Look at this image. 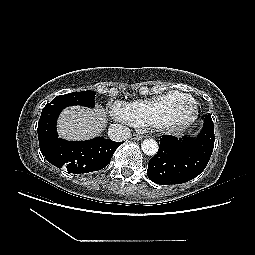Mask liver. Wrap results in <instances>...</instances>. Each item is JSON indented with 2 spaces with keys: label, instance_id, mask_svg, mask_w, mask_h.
<instances>
[{
  "label": "liver",
  "instance_id": "obj_1",
  "mask_svg": "<svg viewBox=\"0 0 255 255\" xmlns=\"http://www.w3.org/2000/svg\"><path fill=\"white\" fill-rule=\"evenodd\" d=\"M105 123L106 113L101 106L97 105L95 110L74 106L61 113L58 133L66 140H89L102 133Z\"/></svg>",
  "mask_w": 255,
  "mask_h": 255
}]
</instances>
